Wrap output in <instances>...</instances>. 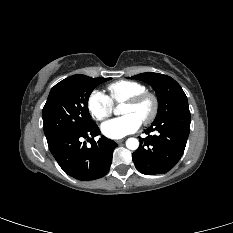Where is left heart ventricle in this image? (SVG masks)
<instances>
[{
  "instance_id": "obj_1",
  "label": "left heart ventricle",
  "mask_w": 233,
  "mask_h": 233,
  "mask_svg": "<svg viewBox=\"0 0 233 233\" xmlns=\"http://www.w3.org/2000/svg\"><path fill=\"white\" fill-rule=\"evenodd\" d=\"M151 110H152V102L151 100L147 99L136 106H130L124 104L121 108V114L122 115L132 114L136 116L140 121H142L150 114Z\"/></svg>"
}]
</instances>
